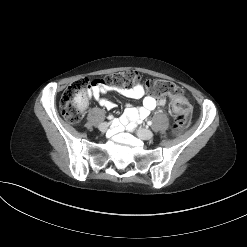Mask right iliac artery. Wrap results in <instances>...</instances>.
<instances>
[{
	"mask_svg": "<svg viewBox=\"0 0 247 247\" xmlns=\"http://www.w3.org/2000/svg\"><path fill=\"white\" fill-rule=\"evenodd\" d=\"M111 118H114V117H113L112 115H109V116H108V119H111Z\"/></svg>",
	"mask_w": 247,
	"mask_h": 247,
	"instance_id": "right-iliac-artery-1",
	"label": "right iliac artery"
}]
</instances>
